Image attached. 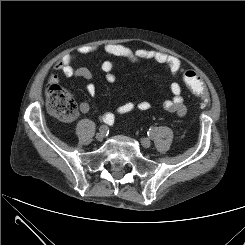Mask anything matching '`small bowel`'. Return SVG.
Segmentation results:
<instances>
[{"instance_id": "c3829d8e", "label": "small bowel", "mask_w": 245, "mask_h": 245, "mask_svg": "<svg viewBox=\"0 0 245 245\" xmlns=\"http://www.w3.org/2000/svg\"><path fill=\"white\" fill-rule=\"evenodd\" d=\"M99 49L98 46L85 45L78 49L76 54L65 55L60 61L54 64L53 69L61 71L67 77H81L86 80L92 78V73L87 68H74L73 64L79 55H85ZM104 52L109 56L117 57L129 62L139 63L145 60H151L165 67L166 72L172 76H177L182 68L181 61L171 55L154 51V50H132L126 46L119 44H108L104 47ZM101 69L105 74V79L109 83L116 81V75L114 73V64L111 60L103 61ZM49 82L56 84L59 82V77L56 74L49 76ZM87 91L91 96L96 93V87L94 84L89 83L87 85ZM170 92L172 97L163 102V109L171 114H175L178 117L185 116L187 112L184 98L182 96V88L178 82H172L170 84ZM150 103L147 100H130L117 107L115 113L107 112L103 115V120L115 119V115H124L133 111L146 112L150 109ZM90 105L87 102H81L79 104V110L82 113L88 112Z\"/></svg>"}]
</instances>
